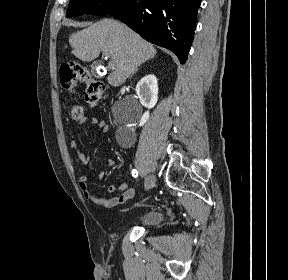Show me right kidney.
<instances>
[{
    "mask_svg": "<svg viewBox=\"0 0 288 280\" xmlns=\"http://www.w3.org/2000/svg\"><path fill=\"white\" fill-rule=\"evenodd\" d=\"M136 94L140 100V103L148 109V111L143 114L140 121V126H143L149 118V110L156 105L158 100V84L156 76L150 74L143 77L136 85ZM127 133L131 135V132H127L123 129L120 130L117 140H121V135ZM132 136H134L133 133Z\"/></svg>",
    "mask_w": 288,
    "mask_h": 280,
    "instance_id": "right-kidney-1",
    "label": "right kidney"
}]
</instances>
